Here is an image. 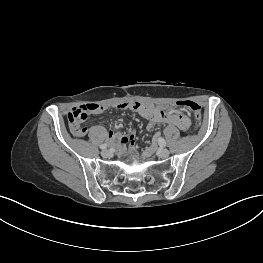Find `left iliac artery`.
I'll return each instance as SVG.
<instances>
[{
  "label": "left iliac artery",
  "instance_id": "left-iliac-artery-1",
  "mask_svg": "<svg viewBox=\"0 0 263 263\" xmlns=\"http://www.w3.org/2000/svg\"><path fill=\"white\" fill-rule=\"evenodd\" d=\"M158 143L160 147H166V141L163 138H159Z\"/></svg>",
  "mask_w": 263,
  "mask_h": 263
}]
</instances>
